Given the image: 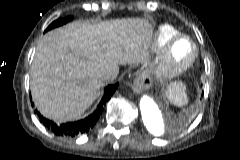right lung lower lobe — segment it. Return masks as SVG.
Returning a JSON list of instances; mask_svg holds the SVG:
<instances>
[{
	"instance_id": "obj_1",
	"label": "right lung lower lobe",
	"mask_w": 240,
	"mask_h": 160,
	"mask_svg": "<svg viewBox=\"0 0 240 160\" xmlns=\"http://www.w3.org/2000/svg\"><path fill=\"white\" fill-rule=\"evenodd\" d=\"M118 83L114 85H109L105 88V94L102 100L100 101L97 109L88 117L83 120L77 122H69L66 124H56L53 121L48 120L43 117L37 110L35 113L38 115L40 121L44 124V126L51 130L55 135L58 136H69L74 137L77 135H81L83 133H87L90 129L94 127L97 121L100 118V115L103 110V105L111 98V96L117 90Z\"/></svg>"
}]
</instances>
